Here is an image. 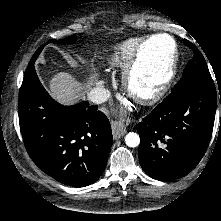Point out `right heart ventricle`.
<instances>
[{
    "label": "right heart ventricle",
    "mask_w": 221,
    "mask_h": 221,
    "mask_svg": "<svg viewBox=\"0 0 221 221\" xmlns=\"http://www.w3.org/2000/svg\"><path fill=\"white\" fill-rule=\"evenodd\" d=\"M142 38H129L117 42L105 57L106 71L123 70Z\"/></svg>",
    "instance_id": "right-heart-ventricle-1"
}]
</instances>
